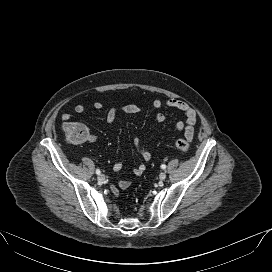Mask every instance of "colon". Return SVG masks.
I'll return each mask as SVG.
<instances>
[{
  "label": "colon",
  "instance_id": "colon-1",
  "mask_svg": "<svg viewBox=\"0 0 272 272\" xmlns=\"http://www.w3.org/2000/svg\"><path fill=\"white\" fill-rule=\"evenodd\" d=\"M66 137L74 143H81L89 138L88 130L85 126L75 122H66L63 125ZM190 132L184 138H179L176 141V147L181 152H187L190 147Z\"/></svg>",
  "mask_w": 272,
  "mask_h": 272
}]
</instances>
